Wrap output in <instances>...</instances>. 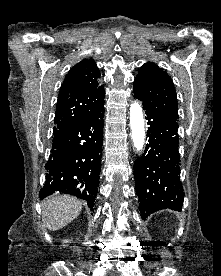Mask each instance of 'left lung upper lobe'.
<instances>
[{"label": "left lung upper lobe", "instance_id": "obj_1", "mask_svg": "<svg viewBox=\"0 0 221 276\" xmlns=\"http://www.w3.org/2000/svg\"><path fill=\"white\" fill-rule=\"evenodd\" d=\"M134 97L143 102L149 113L170 121H178L176 91L170 76L153 63L144 64L133 86Z\"/></svg>", "mask_w": 221, "mask_h": 276}]
</instances>
